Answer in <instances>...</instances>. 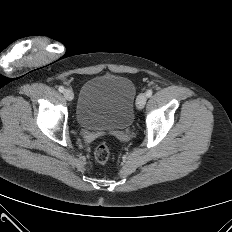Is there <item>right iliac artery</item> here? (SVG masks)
I'll return each mask as SVG.
<instances>
[{
    "instance_id": "obj_1",
    "label": "right iliac artery",
    "mask_w": 232,
    "mask_h": 232,
    "mask_svg": "<svg viewBox=\"0 0 232 232\" xmlns=\"http://www.w3.org/2000/svg\"><path fill=\"white\" fill-rule=\"evenodd\" d=\"M58 90H59V92H64V87H62V86H60L59 88H58Z\"/></svg>"
}]
</instances>
